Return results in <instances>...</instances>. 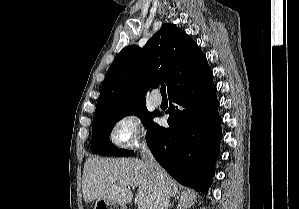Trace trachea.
Segmentation results:
<instances>
[{
  "label": "trachea",
  "mask_w": 299,
  "mask_h": 209,
  "mask_svg": "<svg viewBox=\"0 0 299 209\" xmlns=\"http://www.w3.org/2000/svg\"><path fill=\"white\" fill-rule=\"evenodd\" d=\"M160 92H161L162 96H166V86L165 85L161 86Z\"/></svg>",
  "instance_id": "obj_1"
}]
</instances>
